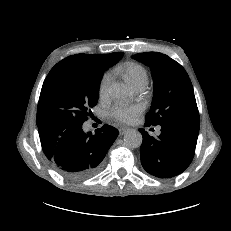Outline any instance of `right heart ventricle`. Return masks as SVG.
Wrapping results in <instances>:
<instances>
[{
  "instance_id": "obj_1",
  "label": "right heart ventricle",
  "mask_w": 231,
  "mask_h": 231,
  "mask_svg": "<svg viewBox=\"0 0 231 231\" xmlns=\"http://www.w3.org/2000/svg\"><path fill=\"white\" fill-rule=\"evenodd\" d=\"M123 79L135 90H141L148 83V73L146 69L136 62H125L115 68Z\"/></svg>"
}]
</instances>
